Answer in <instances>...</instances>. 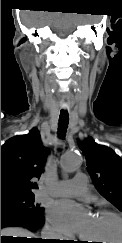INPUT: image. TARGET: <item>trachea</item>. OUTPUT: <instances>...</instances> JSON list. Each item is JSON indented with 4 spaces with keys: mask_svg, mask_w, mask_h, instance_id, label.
<instances>
[{
    "mask_svg": "<svg viewBox=\"0 0 122 243\" xmlns=\"http://www.w3.org/2000/svg\"><path fill=\"white\" fill-rule=\"evenodd\" d=\"M69 124V114L67 110H61L58 124V136L63 138L67 132Z\"/></svg>",
    "mask_w": 122,
    "mask_h": 243,
    "instance_id": "obj_1",
    "label": "trachea"
}]
</instances>
